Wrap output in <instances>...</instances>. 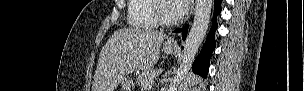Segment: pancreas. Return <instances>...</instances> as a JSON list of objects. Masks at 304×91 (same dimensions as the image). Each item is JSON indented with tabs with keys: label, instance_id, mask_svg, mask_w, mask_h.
Instances as JSON below:
<instances>
[{
	"label": "pancreas",
	"instance_id": "pancreas-1",
	"mask_svg": "<svg viewBox=\"0 0 304 91\" xmlns=\"http://www.w3.org/2000/svg\"><path fill=\"white\" fill-rule=\"evenodd\" d=\"M159 74L158 70L148 69L143 72H140L137 76V83L142 88L147 90V86L153 83L154 78Z\"/></svg>",
	"mask_w": 304,
	"mask_h": 91
}]
</instances>
